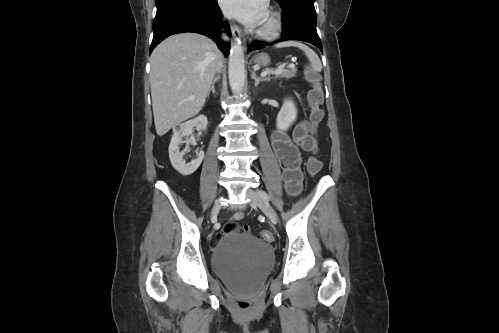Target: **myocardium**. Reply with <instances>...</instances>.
Returning a JSON list of instances; mask_svg holds the SVG:
<instances>
[{
	"instance_id": "obj_1",
	"label": "myocardium",
	"mask_w": 499,
	"mask_h": 333,
	"mask_svg": "<svg viewBox=\"0 0 499 333\" xmlns=\"http://www.w3.org/2000/svg\"><path fill=\"white\" fill-rule=\"evenodd\" d=\"M282 29V17L279 12L269 10L266 14L265 20L260 25L257 34L259 37L271 40L276 38Z\"/></svg>"
}]
</instances>
